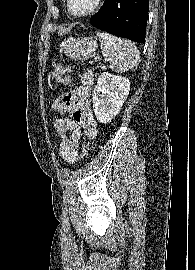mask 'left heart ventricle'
<instances>
[{
    "instance_id": "left-heart-ventricle-1",
    "label": "left heart ventricle",
    "mask_w": 195,
    "mask_h": 270,
    "mask_svg": "<svg viewBox=\"0 0 195 270\" xmlns=\"http://www.w3.org/2000/svg\"><path fill=\"white\" fill-rule=\"evenodd\" d=\"M95 0H70L71 10L76 14L87 12L94 5Z\"/></svg>"
}]
</instances>
